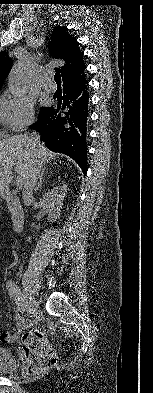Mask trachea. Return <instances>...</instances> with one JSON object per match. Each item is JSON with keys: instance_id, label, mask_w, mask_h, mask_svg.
<instances>
[{"instance_id": "trachea-1", "label": "trachea", "mask_w": 153, "mask_h": 393, "mask_svg": "<svg viewBox=\"0 0 153 393\" xmlns=\"http://www.w3.org/2000/svg\"><path fill=\"white\" fill-rule=\"evenodd\" d=\"M54 80L56 81V83H61V74H60V72L56 71L55 76H54Z\"/></svg>"}]
</instances>
